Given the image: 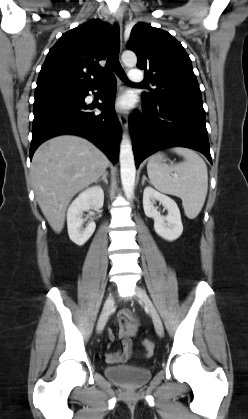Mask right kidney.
Masks as SVG:
<instances>
[{
	"instance_id": "1",
	"label": "right kidney",
	"mask_w": 248,
	"mask_h": 419,
	"mask_svg": "<svg viewBox=\"0 0 248 419\" xmlns=\"http://www.w3.org/2000/svg\"><path fill=\"white\" fill-rule=\"evenodd\" d=\"M104 203V191L100 186H93L81 192L71 203L67 211V226L70 239L77 245H84L95 231V222H89L82 229L83 212L91 207L100 209Z\"/></svg>"
}]
</instances>
